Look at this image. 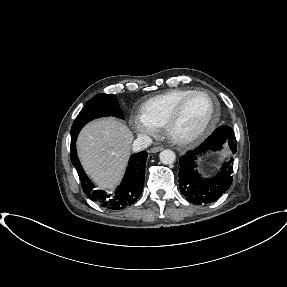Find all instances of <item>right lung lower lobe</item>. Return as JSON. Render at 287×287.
Listing matches in <instances>:
<instances>
[{"label": "right lung lower lobe", "instance_id": "1", "mask_svg": "<svg viewBox=\"0 0 287 287\" xmlns=\"http://www.w3.org/2000/svg\"><path fill=\"white\" fill-rule=\"evenodd\" d=\"M77 136L71 139V162L79 175L83 191L93 201L109 210L123 209L137 201L142 193L145 179V162L147 152L131 156L126 174L121 184L117 187L114 194H107L104 191L95 189L94 184L85 174L76 153Z\"/></svg>", "mask_w": 287, "mask_h": 287}]
</instances>
